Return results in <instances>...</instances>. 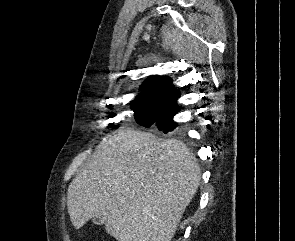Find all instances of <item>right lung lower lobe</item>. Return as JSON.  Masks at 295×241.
Listing matches in <instances>:
<instances>
[{
  "label": "right lung lower lobe",
  "instance_id": "obj_1",
  "mask_svg": "<svg viewBox=\"0 0 295 241\" xmlns=\"http://www.w3.org/2000/svg\"><path fill=\"white\" fill-rule=\"evenodd\" d=\"M174 115L168 117L165 120H162V121H159L156 123L159 131H162L163 133H169V132H172L176 129L177 123L173 121Z\"/></svg>",
  "mask_w": 295,
  "mask_h": 241
}]
</instances>
